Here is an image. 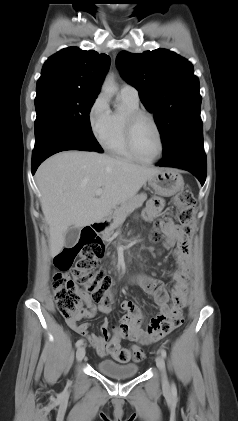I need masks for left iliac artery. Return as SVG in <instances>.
<instances>
[{
    "label": "left iliac artery",
    "mask_w": 238,
    "mask_h": 421,
    "mask_svg": "<svg viewBox=\"0 0 238 421\" xmlns=\"http://www.w3.org/2000/svg\"><path fill=\"white\" fill-rule=\"evenodd\" d=\"M161 355H162L163 358H166V356H167L166 350L162 349ZM172 390H175V384L174 383H172Z\"/></svg>",
    "instance_id": "obj_1"
}]
</instances>
